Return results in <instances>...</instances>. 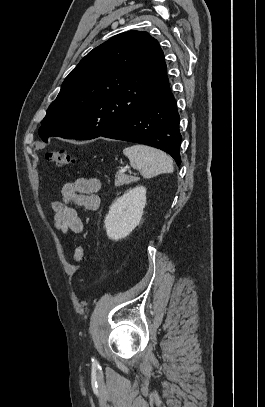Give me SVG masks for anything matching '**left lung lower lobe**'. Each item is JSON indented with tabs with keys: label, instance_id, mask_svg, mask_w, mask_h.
I'll use <instances>...</instances> for the list:
<instances>
[{
	"label": "left lung lower lobe",
	"instance_id": "left-lung-lower-lobe-1",
	"mask_svg": "<svg viewBox=\"0 0 265 407\" xmlns=\"http://www.w3.org/2000/svg\"><path fill=\"white\" fill-rule=\"evenodd\" d=\"M102 137L146 144L169 153L181 164L179 114L176 100L168 86L130 117Z\"/></svg>",
	"mask_w": 265,
	"mask_h": 407
}]
</instances>
